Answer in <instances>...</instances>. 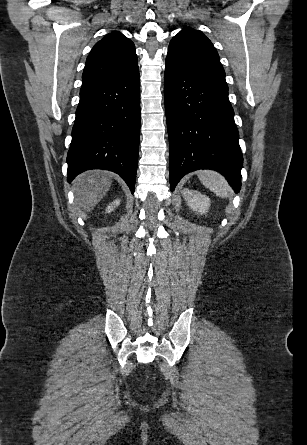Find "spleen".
Instances as JSON below:
<instances>
[{"label":"spleen","instance_id":"3e777b00","mask_svg":"<svg viewBox=\"0 0 307 445\" xmlns=\"http://www.w3.org/2000/svg\"><path fill=\"white\" fill-rule=\"evenodd\" d=\"M197 176L200 178L202 184H204L206 188H210L217 196L225 198V196H228L229 192H231V188L224 176L219 174V172H215V170H197Z\"/></svg>","mask_w":307,"mask_h":445}]
</instances>
